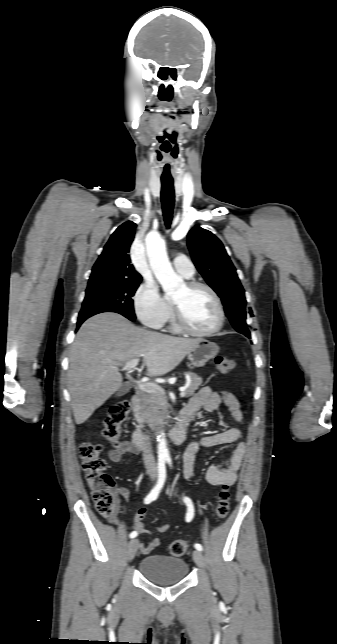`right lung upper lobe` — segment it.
<instances>
[{
	"label": "right lung upper lobe",
	"mask_w": 337,
	"mask_h": 644,
	"mask_svg": "<svg viewBox=\"0 0 337 644\" xmlns=\"http://www.w3.org/2000/svg\"><path fill=\"white\" fill-rule=\"evenodd\" d=\"M136 224L127 221L111 235L92 268L89 283L97 281L136 282L141 275L131 265L128 255Z\"/></svg>",
	"instance_id": "right-lung-upper-lobe-1"
}]
</instances>
